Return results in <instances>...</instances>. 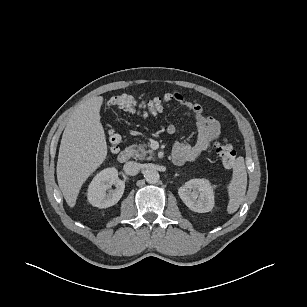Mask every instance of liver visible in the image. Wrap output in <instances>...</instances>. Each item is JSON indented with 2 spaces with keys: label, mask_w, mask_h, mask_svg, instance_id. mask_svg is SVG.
<instances>
[{
  "label": "liver",
  "mask_w": 307,
  "mask_h": 307,
  "mask_svg": "<svg viewBox=\"0 0 307 307\" xmlns=\"http://www.w3.org/2000/svg\"><path fill=\"white\" fill-rule=\"evenodd\" d=\"M103 97H92L70 117L63 132L57 161V181L70 207L83 183L105 161L107 143L100 122Z\"/></svg>",
  "instance_id": "1"
}]
</instances>
